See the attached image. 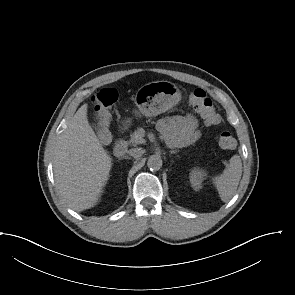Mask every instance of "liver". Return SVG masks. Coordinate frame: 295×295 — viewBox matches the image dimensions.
<instances>
[{"label": "liver", "mask_w": 295, "mask_h": 295, "mask_svg": "<svg viewBox=\"0 0 295 295\" xmlns=\"http://www.w3.org/2000/svg\"><path fill=\"white\" fill-rule=\"evenodd\" d=\"M87 104L70 119L56 143L53 172L60 196L73 210L94 207L103 193L112 158L87 119Z\"/></svg>", "instance_id": "1"}]
</instances>
